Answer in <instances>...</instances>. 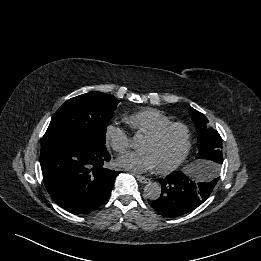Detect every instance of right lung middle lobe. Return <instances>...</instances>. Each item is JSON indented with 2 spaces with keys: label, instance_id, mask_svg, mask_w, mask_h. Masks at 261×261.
<instances>
[{
  "label": "right lung middle lobe",
  "instance_id": "1",
  "mask_svg": "<svg viewBox=\"0 0 261 261\" xmlns=\"http://www.w3.org/2000/svg\"><path fill=\"white\" fill-rule=\"evenodd\" d=\"M118 103L114 96L101 92L69 99L52 117L41 147L76 140L105 145L106 129Z\"/></svg>",
  "mask_w": 261,
  "mask_h": 261
}]
</instances>
